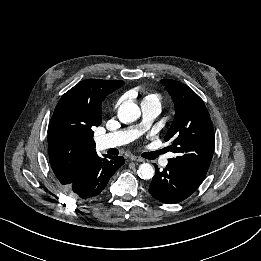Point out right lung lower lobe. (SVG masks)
I'll return each mask as SVG.
<instances>
[{
    "instance_id": "98d812e1",
    "label": "right lung lower lobe",
    "mask_w": 261,
    "mask_h": 261,
    "mask_svg": "<svg viewBox=\"0 0 261 261\" xmlns=\"http://www.w3.org/2000/svg\"><path fill=\"white\" fill-rule=\"evenodd\" d=\"M122 156L104 158L93 155L74 180L66 185L68 192L77 200L97 198L107 186L111 176L124 164Z\"/></svg>"
}]
</instances>
